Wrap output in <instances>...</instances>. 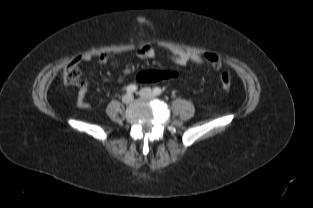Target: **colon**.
Segmentation results:
<instances>
[{"mask_svg":"<svg viewBox=\"0 0 313 208\" xmlns=\"http://www.w3.org/2000/svg\"><path fill=\"white\" fill-rule=\"evenodd\" d=\"M206 63H208L213 70L220 71L221 62L217 55L206 53L204 56ZM177 74L172 71L149 69L137 74L136 79L142 83H152L159 81L175 80ZM64 83L68 86L83 85V78L77 63H71L64 72ZM220 85L223 90H229L231 87V78L227 73H223L220 77Z\"/></svg>","mask_w":313,"mask_h":208,"instance_id":"1","label":"colon"}]
</instances>
